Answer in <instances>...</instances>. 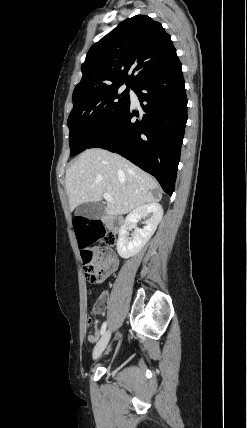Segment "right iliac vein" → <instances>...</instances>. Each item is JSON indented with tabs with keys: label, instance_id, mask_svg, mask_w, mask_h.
Here are the masks:
<instances>
[{
	"label": "right iliac vein",
	"instance_id": "63e3f726",
	"mask_svg": "<svg viewBox=\"0 0 247 428\" xmlns=\"http://www.w3.org/2000/svg\"><path fill=\"white\" fill-rule=\"evenodd\" d=\"M111 337V332L110 330H107L103 336L101 337V339L98 341V343L96 344L94 350H93V359L96 360L98 359L101 354L103 353V351L105 350L109 340Z\"/></svg>",
	"mask_w": 247,
	"mask_h": 428
}]
</instances>
